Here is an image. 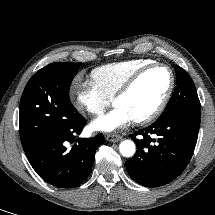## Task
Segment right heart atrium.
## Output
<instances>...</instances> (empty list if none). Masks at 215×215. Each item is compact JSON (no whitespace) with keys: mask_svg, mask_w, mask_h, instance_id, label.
Returning a JSON list of instances; mask_svg holds the SVG:
<instances>
[{"mask_svg":"<svg viewBox=\"0 0 215 215\" xmlns=\"http://www.w3.org/2000/svg\"><path fill=\"white\" fill-rule=\"evenodd\" d=\"M69 96L77 111L91 115L102 113L111 101L91 80H83L80 77L72 82Z\"/></svg>","mask_w":215,"mask_h":215,"instance_id":"d8ad5b80","label":"right heart atrium"}]
</instances>
